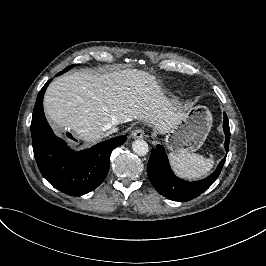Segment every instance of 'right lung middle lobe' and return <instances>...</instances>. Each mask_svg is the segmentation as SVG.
<instances>
[{"mask_svg": "<svg viewBox=\"0 0 266 266\" xmlns=\"http://www.w3.org/2000/svg\"><path fill=\"white\" fill-rule=\"evenodd\" d=\"M73 66H75V65H72V66L67 67L66 69H64V70L61 71L60 73H64V72H66L69 68H71V67H73Z\"/></svg>", "mask_w": 266, "mask_h": 266, "instance_id": "1", "label": "right lung middle lobe"}]
</instances>
